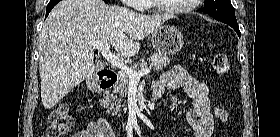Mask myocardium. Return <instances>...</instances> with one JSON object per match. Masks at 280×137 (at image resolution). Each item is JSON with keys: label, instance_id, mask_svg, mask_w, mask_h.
Wrapping results in <instances>:
<instances>
[{"label": "myocardium", "instance_id": "obj_1", "mask_svg": "<svg viewBox=\"0 0 280 137\" xmlns=\"http://www.w3.org/2000/svg\"><path fill=\"white\" fill-rule=\"evenodd\" d=\"M151 2L159 11L169 14H185L195 9L199 0H189V3L187 5L178 8L165 7L159 3V0H151Z\"/></svg>", "mask_w": 280, "mask_h": 137}]
</instances>
